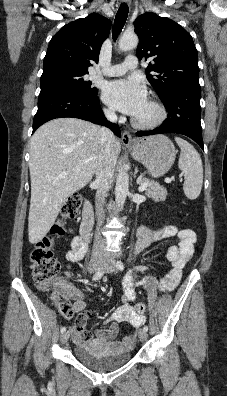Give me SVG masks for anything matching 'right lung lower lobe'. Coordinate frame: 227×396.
Segmentation results:
<instances>
[{
  "label": "right lung lower lobe",
  "mask_w": 227,
  "mask_h": 396,
  "mask_svg": "<svg viewBox=\"0 0 227 396\" xmlns=\"http://www.w3.org/2000/svg\"><path fill=\"white\" fill-rule=\"evenodd\" d=\"M63 117L79 118L107 126L120 137L118 125L106 120L97 94L86 96L63 88L40 92L33 132L45 122Z\"/></svg>",
  "instance_id": "right-lung-lower-lobe-1"
}]
</instances>
